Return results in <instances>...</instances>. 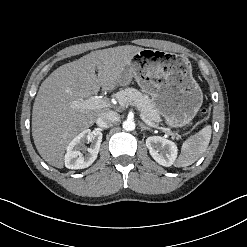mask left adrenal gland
<instances>
[{"mask_svg": "<svg viewBox=\"0 0 247 247\" xmlns=\"http://www.w3.org/2000/svg\"><path fill=\"white\" fill-rule=\"evenodd\" d=\"M139 126H140V128H141L142 131H144V130L151 131V128L148 127V126H145L142 122H139Z\"/></svg>", "mask_w": 247, "mask_h": 247, "instance_id": "a2214340", "label": "left adrenal gland"}]
</instances>
